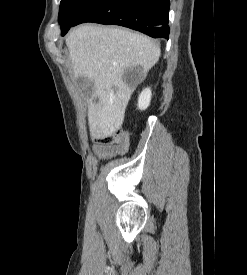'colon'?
<instances>
[{
    "label": "colon",
    "mask_w": 247,
    "mask_h": 275,
    "mask_svg": "<svg viewBox=\"0 0 247 275\" xmlns=\"http://www.w3.org/2000/svg\"><path fill=\"white\" fill-rule=\"evenodd\" d=\"M96 142L102 145L127 144L128 136L122 131H116L113 134L98 138Z\"/></svg>",
    "instance_id": "obj_1"
}]
</instances>
